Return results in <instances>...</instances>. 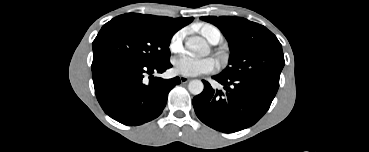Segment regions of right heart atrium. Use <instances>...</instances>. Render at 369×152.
I'll return each mask as SVG.
<instances>
[{
  "mask_svg": "<svg viewBox=\"0 0 369 152\" xmlns=\"http://www.w3.org/2000/svg\"><path fill=\"white\" fill-rule=\"evenodd\" d=\"M184 31H178L176 32L171 40H170V44H169V49L172 53H179L182 50L183 47V39H184Z\"/></svg>",
  "mask_w": 369,
  "mask_h": 152,
  "instance_id": "d8ad5b80",
  "label": "right heart atrium"
}]
</instances>
